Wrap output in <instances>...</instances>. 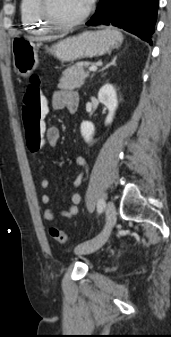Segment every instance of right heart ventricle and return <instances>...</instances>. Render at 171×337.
I'll list each match as a JSON object with an SVG mask.
<instances>
[{
    "instance_id": "1",
    "label": "right heart ventricle",
    "mask_w": 171,
    "mask_h": 337,
    "mask_svg": "<svg viewBox=\"0 0 171 337\" xmlns=\"http://www.w3.org/2000/svg\"><path fill=\"white\" fill-rule=\"evenodd\" d=\"M20 14L25 30L43 33L50 29L49 25L40 16L39 0H21Z\"/></svg>"
}]
</instances>
